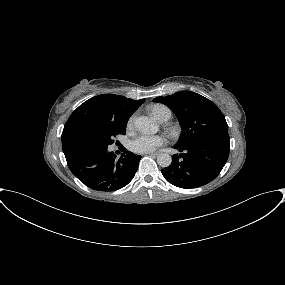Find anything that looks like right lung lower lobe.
I'll list each match as a JSON object with an SVG mask.
<instances>
[{"label":"right lung lower lobe","instance_id":"1","mask_svg":"<svg viewBox=\"0 0 285 285\" xmlns=\"http://www.w3.org/2000/svg\"><path fill=\"white\" fill-rule=\"evenodd\" d=\"M71 172L86 186L98 191H115L134 177L140 155L126 150L117 160L107 147L85 146L65 155Z\"/></svg>","mask_w":285,"mask_h":285}]
</instances>
